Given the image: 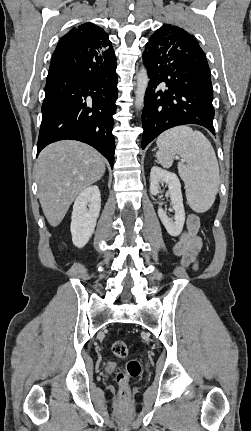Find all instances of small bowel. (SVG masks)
Masks as SVG:
<instances>
[{
  "label": "small bowel",
  "mask_w": 251,
  "mask_h": 431,
  "mask_svg": "<svg viewBox=\"0 0 251 431\" xmlns=\"http://www.w3.org/2000/svg\"><path fill=\"white\" fill-rule=\"evenodd\" d=\"M199 228V218L190 214L187 217L184 230L177 236L173 246V253L180 258L181 264L191 266L194 269L198 267V255L203 245L202 239L198 235Z\"/></svg>",
  "instance_id": "obj_1"
}]
</instances>
